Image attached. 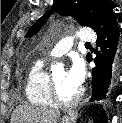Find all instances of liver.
I'll list each match as a JSON object with an SVG mask.
<instances>
[{
  "label": "liver",
  "instance_id": "liver-1",
  "mask_svg": "<svg viewBox=\"0 0 122 123\" xmlns=\"http://www.w3.org/2000/svg\"><path fill=\"white\" fill-rule=\"evenodd\" d=\"M60 115L58 109L21 105L13 112L11 123H57Z\"/></svg>",
  "mask_w": 122,
  "mask_h": 123
}]
</instances>
